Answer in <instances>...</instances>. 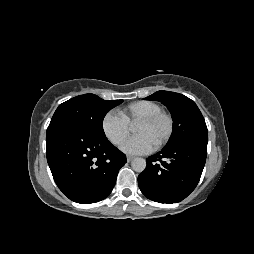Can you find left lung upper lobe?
<instances>
[{
	"instance_id": "1",
	"label": "left lung upper lobe",
	"mask_w": 254,
	"mask_h": 254,
	"mask_svg": "<svg viewBox=\"0 0 254 254\" xmlns=\"http://www.w3.org/2000/svg\"><path fill=\"white\" fill-rule=\"evenodd\" d=\"M145 99L160 101L172 115L173 131L165 147L192 139L208 141L205 120L193 100L182 94L163 90Z\"/></svg>"
}]
</instances>
